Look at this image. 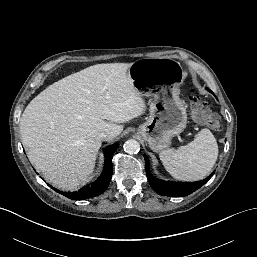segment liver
<instances>
[{
	"label": "liver",
	"mask_w": 257,
	"mask_h": 257,
	"mask_svg": "<svg viewBox=\"0 0 257 257\" xmlns=\"http://www.w3.org/2000/svg\"><path fill=\"white\" fill-rule=\"evenodd\" d=\"M131 63L97 64L51 84L26 107L20 120L32 165L61 190H75L93 173L101 132L145 112L128 76Z\"/></svg>",
	"instance_id": "6515ba94"
}]
</instances>
